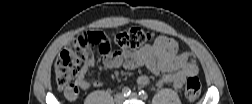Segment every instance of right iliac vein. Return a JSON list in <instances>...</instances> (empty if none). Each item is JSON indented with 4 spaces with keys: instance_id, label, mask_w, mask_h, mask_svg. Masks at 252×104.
Instances as JSON below:
<instances>
[{
    "instance_id": "obj_1",
    "label": "right iliac vein",
    "mask_w": 252,
    "mask_h": 104,
    "mask_svg": "<svg viewBox=\"0 0 252 104\" xmlns=\"http://www.w3.org/2000/svg\"><path fill=\"white\" fill-rule=\"evenodd\" d=\"M124 100V97L122 94H116L114 97V101L116 104H121Z\"/></svg>"
}]
</instances>
